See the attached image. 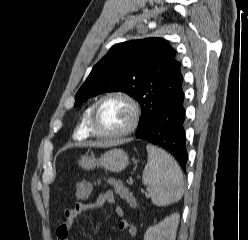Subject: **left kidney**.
I'll use <instances>...</instances> for the list:
<instances>
[{
	"mask_svg": "<svg viewBox=\"0 0 248 240\" xmlns=\"http://www.w3.org/2000/svg\"><path fill=\"white\" fill-rule=\"evenodd\" d=\"M180 215L174 213L155 226L149 227L144 240H175Z\"/></svg>",
	"mask_w": 248,
	"mask_h": 240,
	"instance_id": "left-kidney-1",
	"label": "left kidney"
}]
</instances>
